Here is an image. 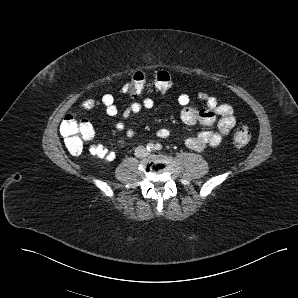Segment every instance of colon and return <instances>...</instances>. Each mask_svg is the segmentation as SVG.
I'll return each mask as SVG.
<instances>
[{
	"mask_svg": "<svg viewBox=\"0 0 298 298\" xmlns=\"http://www.w3.org/2000/svg\"><path fill=\"white\" fill-rule=\"evenodd\" d=\"M147 85V78L143 72L134 73L123 86L122 92L136 97L143 93ZM155 88L160 92H167L172 87V79L167 71L160 70L154 77ZM60 132L64 139V144L68 152L72 155H80L83 151L84 143L94 136L93 127L86 120H82L74 112H69L60 124ZM251 138L247 126L239 125L233 135V143L236 147H245Z\"/></svg>",
	"mask_w": 298,
	"mask_h": 298,
	"instance_id": "obj_1",
	"label": "colon"
}]
</instances>
